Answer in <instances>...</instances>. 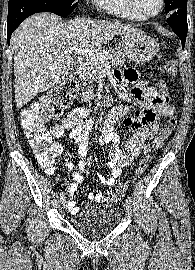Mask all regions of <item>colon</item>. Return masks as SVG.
<instances>
[{
  "label": "colon",
  "instance_id": "1",
  "mask_svg": "<svg viewBox=\"0 0 195 270\" xmlns=\"http://www.w3.org/2000/svg\"><path fill=\"white\" fill-rule=\"evenodd\" d=\"M165 70L171 76H176L177 66L173 60H168L164 64ZM81 81L70 78L64 83L52 88L43 95L38 101L32 103L21 112L20 125L29 145L36 151L37 158L42 166L49 171L53 170V164L61 152L58 144L51 143L49 133L43 127L46 119L53 116H59L71 104L75 98ZM161 96L168 94L165 83L156 84ZM177 125V118L171 117L165 123L163 129L154 141V147L161 146L164 141L172 134ZM150 159V153L145 154L136 169V177H140L146 170ZM127 190V184L121 183L115 188V194L121 196Z\"/></svg>",
  "mask_w": 195,
  "mask_h": 270
}]
</instances>
